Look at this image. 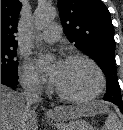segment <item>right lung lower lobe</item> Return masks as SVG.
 Instances as JSON below:
<instances>
[{
    "instance_id": "obj_1",
    "label": "right lung lower lobe",
    "mask_w": 123,
    "mask_h": 130,
    "mask_svg": "<svg viewBox=\"0 0 123 130\" xmlns=\"http://www.w3.org/2000/svg\"><path fill=\"white\" fill-rule=\"evenodd\" d=\"M1 84L9 87L18 85V78H14L5 74H1Z\"/></svg>"
}]
</instances>
